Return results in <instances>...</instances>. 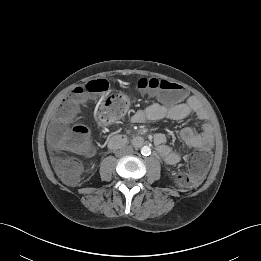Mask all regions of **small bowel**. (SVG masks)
Masks as SVG:
<instances>
[{"label": "small bowel", "mask_w": 261, "mask_h": 261, "mask_svg": "<svg viewBox=\"0 0 261 261\" xmlns=\"http://www.w3.org/2000/svg\"><path fill=\"white\" fill-rule=\"evenodd\" d=\"M195 114L203 120L201 130L185 127L180 131V139L185 146L192 149H210L213 146V131L211 125L206 121L207 115L200 100L192 96L185 103L166 106L152 103L142 110L135 112L131 119L135 123L146 121H180ZM154 143L162 159L174 165L180 161V154L166 144V136L163 133L154 135Z\"/></svg>", "instance_id": "obj_1"}]
</instances>
